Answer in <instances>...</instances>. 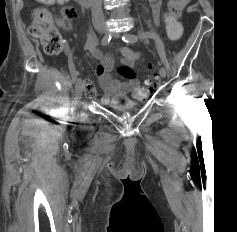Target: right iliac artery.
<instances>
[{"label": "right iliac artery", "instance_id": "1", "mask_svg": "<svg viewBox=\"0 0 237 232\" xmlns=\"http://www.w3.org/2000/svg\"><path fill=\"white\" fill-rule=\"evenodd\" d=\"M110 40H111V34L107 33L103 36V38L101 40V44L105 46V45L109 44ZM72 56H73V50H71L68 54V66H69V70H70V73L72 76V80L75 82L77 79L78 73L76 72Z\"/></svg>", "mask_w": 237, "mask_h": 232}]
</instances>
